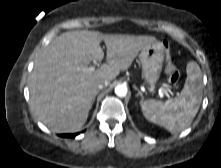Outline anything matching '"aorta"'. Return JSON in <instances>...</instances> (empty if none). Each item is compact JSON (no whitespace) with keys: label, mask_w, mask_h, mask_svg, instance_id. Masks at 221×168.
<instances>
[{"label":"aorta","mask_w":221,"mask_h":168,"mask_svg":"<svg viewBox=\"0 0 221 168\" xmlns=\"http://www.w3.org/2000/svg\"><path fill=\"white\" fill-rule=\"evenodd\" d=\"M115 94L119 97H125L127 94V87L125 85H117L115 87Z\"/></svg>","instance_id":"obj_1"}]
</instances>
